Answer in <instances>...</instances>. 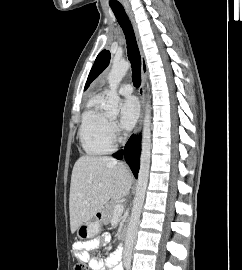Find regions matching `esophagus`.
<instances>
[{
  "label": "esophagus",
  "mask_w": 242,
  "mask_h": 270,
  "mask_svg": "<svg viewBox=\"0 0 242 270\" xmlns=\"http://www.w3.org/2000/svg\"><path fill=\"white\" fill-rule=\"evenodd\" d=\"M125 10L126 13L129 17V20L132 24L134 33H135V37H136V42L139 48V52H140V57H141V85L138 89V94L140 97V102H141V115L139 118V121L137 123V126L135 128V134H138L141 126H142V122H143V117H144V110H145V90H144V86H145V80H146V76H147V72H148V67H147V62H146V58L143 52V48H142V43H141V38L139 35V31H138V27L134 18V15L132 13V11L130 10V8L128 6H125Z\"/></svg>",
  "instance_id": "1"
}]
</instances>
